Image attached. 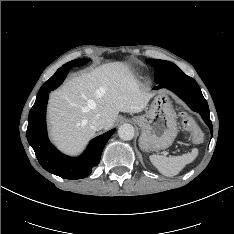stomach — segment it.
<instances>
[{"label": "stomach", "instance_id": "1", "mask_svg": "<svg viewBox=\"0 0 234 234\" xmlns=\"http://www.w3.org/2000/svg\"><path fill=\"white\" fill-rule=\"evenodd\" d=\"M134 122L141 128L139 145L144 151L168 148L178 133L175 110L164 92L158 93L147 113L135 117Z\"/></svg>", "mask_w": 234, "mask_h": 234}]
</instances>
